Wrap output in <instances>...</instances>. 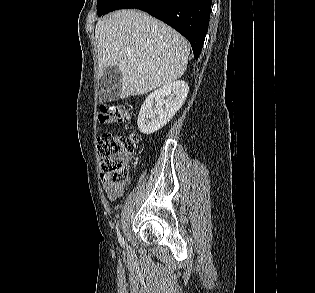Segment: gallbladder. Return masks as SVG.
I'll return each mask as SVG.
<instances>
[{
    "label": "gallbladder",
    "mask_w": 315,
    "mask_h": 293,
    "mask_svg": "<svg viewBox=\"0 0 315 293\" xmlns=\"http://www.w3.org/2000/svg\"><path fill=\"white\" fill-rule=\"evenodd\" d=\"M121 81L122 75L119 68L116 66L107 67L100 78V85L102 88L101 100H118L121 92Z\"/></svg>",
    "instance_id": "bac80fb5"
}]
</instances>
